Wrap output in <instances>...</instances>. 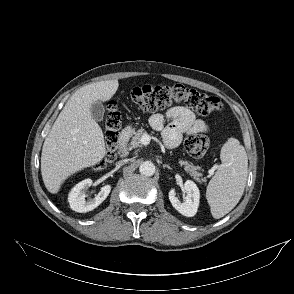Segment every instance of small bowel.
<instances>
[{
    "label": "small bowel",
    "mask_w": 294,
    "mask_h": 294,
    "mask_svg": "<svg viewBox=\"0 0 294 294\" xmlns=\"http://www.w3.org/2000/svg\"><path fill=\"white\" fill-rule=\"evenodd\" d=\"M170 122L165 124V119ZM153 129L162 132L165 145L169 148L176 147L182 140L184 134L207 132L209 125L186 107L175 106L167 110L165 116L153 114L149 119Z\"/></svg>",
    "instance_id": "c3829d8e"
}]
</instances>
